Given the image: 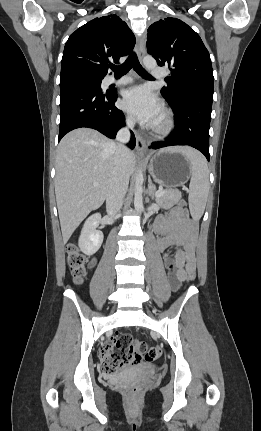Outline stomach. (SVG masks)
<instances>
[{"label":"stomach","mask_w":261,"mask_h":431,"mask_svg":"<svg viewBox=\"0 0 261 431\" xmlns=\"http://www.w3.org/2000/svg\"><path fill=\"white\" fill-rule=\"evenodd\" d=\"M148 170L156 183L167 188L183 185L191 176L190 162L181 153L166 149L153 155Z\"/></svg>","instance_id":"obj_1"}]
</instances>
